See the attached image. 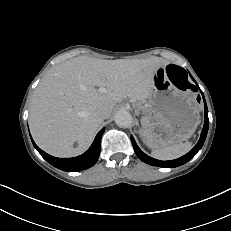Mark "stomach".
<instances>
[{"instance_id": "0dacf381", "label": "stomach", "mask_w": 231, "mask_h": 231, "mask_svg": "<svg viewBox=\"0 0 231 231\" xmlns=\"http://www.w3.org/2000/svg\"><path fill=\"white\" fill-rule=\"evenodd\" d=\"M142 129L147 145L158 149L188 140L200 122V105L187 90L168 77L166 67L153 74V90L147 99Z\"/></svg>"}]
</instances>
